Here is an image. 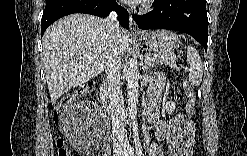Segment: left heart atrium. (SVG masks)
<instances>
[{
	"instance_id": "39dd6f15",
	"label": "left heart atrium",
	"mask_w": 247,
	"mask_h": 156,
	"mask_svg": "<svg viewBox=\"0 0 247 156\" xmlns=\"http://www.w3.org/2000/svg\"><path fill=\"white\" fill-rule=\"evenodd\" d=\"M143 1H141V0H131L130 1V3L131 4H140V3H142Z\"/></svg>"
}]
</instances>
